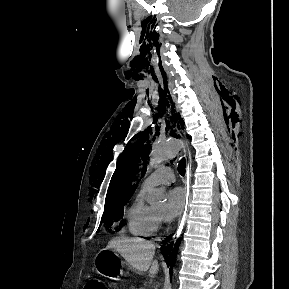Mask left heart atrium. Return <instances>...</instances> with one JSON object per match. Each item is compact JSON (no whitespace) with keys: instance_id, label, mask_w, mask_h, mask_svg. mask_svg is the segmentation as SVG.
<instances>
[{"instance_id":"39dd6f15","label":"left heart atrium","mask_w":289,"mask_h":289,"mask_svg":"<svg viewBox=\"0 0 289 289\" xmlns=\"http://www.w3.org/2000/svg\"><path fill=\"white\" fill-rule=\"evenodd\" d=\"M186 202V194L182 188H173L168 192L162 217L166 221H172L178 217Z\"/></svg>"}]
</instances>
